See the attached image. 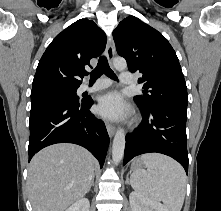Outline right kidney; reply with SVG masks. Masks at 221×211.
Segmentation results:
<instances>
[{
    "label": "right kidney",
    "instance_id": "ca27d5eb",
    "mask_svg": "<svg viewBox=\"0 0 221 211\" xmlns=\"http://www.w3.org/2000/svg\"><path fill=\"white\" fill-rule=\"evenodd\" d=\"M90 203L87 198H82L72 204L66 211H89Z\"/></svg>",
    "mask_w": 221,
    "mask_h": 211
}]
</instances>
